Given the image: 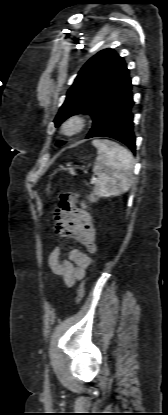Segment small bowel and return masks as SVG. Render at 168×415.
Returning a JSON list of instances; mask_svg holds the SVG:
<instances>
[{"mask_svg": "<svg viewBox=\"0 0 168 415\" xmlns=\"http://www.w3.org/2000/svg\"><path fill=\"white\" fill-rule=\"evenodd\" d=\"M75 194H62L54 213L55 230L60 235L75 238L84 248L85 252L73 249L68 259L62 257L60 246L54 247L49 255V266L54 274L61 277L67 287H72L81 280L86 269L91 264L90 254L95 253V228L90 212L85 204L76 207Z\"/></svg>", "mask_w": 168, "mask_h": 415, "instance_id": "c3829d8e", "label": "small bowel"}]
</instances>
